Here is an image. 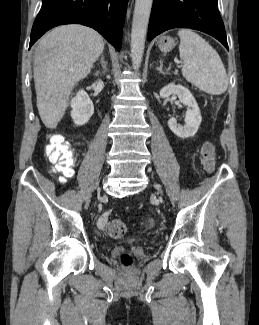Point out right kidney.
Wrapping results in <instances>:
<instances>
[{
	"label": "right kidney",
	"mask_w": 259,
	"mask_h": 325,
	"mask_svg": "<svg viewBox=\"0 0 259 325\" xmlns=\"http://www.w3.org/2000/svg\"><path fill=\"white\" fill-rule=\"evenodd\" d=\"M71 117L77 126L86 124L94 113V105L84 90H79L71 100Z\"/></svg>",
	"instance_id": "right-kidney-1"
}]
</instances>
